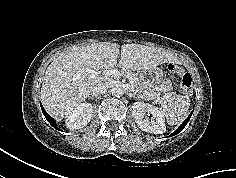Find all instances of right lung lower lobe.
<instances>
[{
  "mask_svg": "<svg viewBox=\"0 0 236 178\" xmlns=\"http://www.w3.org/2000/svg\"><path fill=\"white\" fill-rule=\"evenodd\" d=\"M41 105V104H40ZM41 109L42 112L45 116V118L47 119V121L51 124V126H53L54 128L60 130L57 126H56V121L55 119H53L50 115H48V113L45 111V109L43 108V106L41 105Z\"/></svg>",
  "mask_w": 236,
  "mask_h": 178,
  "instance_id": "98d812e1",
  "label": "right lung lower lobe"
}]
</instances>
